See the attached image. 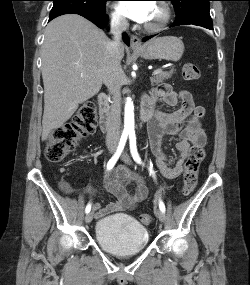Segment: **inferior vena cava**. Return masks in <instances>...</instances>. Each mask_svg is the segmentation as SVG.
Masks as SVG:
<instances>
[{
  "mask_svg": "<svg viewBox=\"0 0 250 285\" xmlns=\"http://www.w3.org/2000/svg\"><path fill=\"white\" fill-rule=\"evenodd\" d=\"M129 27L128 20L120 15H113L110 23V33L113 40L107 44L106 56L103 61V82L112 95L110 114L107 120L106 143L116 146L120 139L121 123V87L123 71L121 68L122 33Z\"/></svg>",
  "mask_w": 250,
  "mask_h": 285,
  "instance_id": "inferior-vena-cava-1",
  "label": "inferior vena cava"
}]
</instances>
